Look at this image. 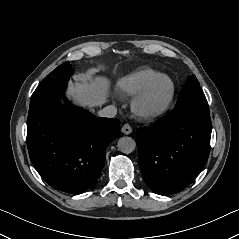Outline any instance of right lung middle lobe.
Wrapping results in <instances>:
<instances>
[{"instance_id":"1","label":"right lung middle lobe","mask_w":239,"mask_h":239,"mask_svg":"<svg viewBox=\"0 0 239 239\" xmlns=\"http://www.w3.org/2000/svg\"><path fill=\"white\" fill-rule=\"evenodd\" d=\"M73 74L72 65L69 62H65L53 70L37 87L35 92L32 94L31 100L35 99L48 89L66 83L69 77Z\"/></svg>"}]
</instances>
